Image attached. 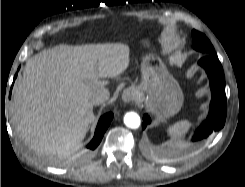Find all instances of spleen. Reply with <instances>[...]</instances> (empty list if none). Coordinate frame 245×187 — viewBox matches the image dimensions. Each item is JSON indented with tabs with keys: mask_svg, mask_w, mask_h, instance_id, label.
Returning a JSON list of instances; mask_svg holds the SVG:
<instances>
[{
	"mask_svg": "<svg viewBox=\"0 0 245 187\" xmlns=\"http://www.w3.org/2000/svg\"><path fill=\"white\" fill-rule=\"evenodd\" d=\"M191 127V123L188 120H181L175 124L169 126L168 133L170 134L172 140H180Z\"/></svg>",
	"mask_w": 245,
	"mask_h": 187,
	"instance_id": "1",
	"label": "spleen"
}]
</instances>
